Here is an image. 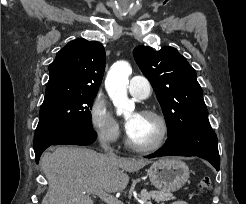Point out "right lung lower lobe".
Here are the masks:
<instances>
[{"label": "right lung lower lobe", "mask_w": 246, "mask_h": 204, "mask_svg": "<svg viewBox=\"0 0 246 204\" xmlns=\"http://www.w3.org/2000/svg\"><path fill=\"white\" fill-rule=\"evenodd\" d=\"M96 136V132L93 129H77L71 133L64 135L58 140L38 143L34 146L36 163H38L43 151L51 145H89L96 140Z\"/></svg>", "instance_id": "obj_1"}]
</instances>
